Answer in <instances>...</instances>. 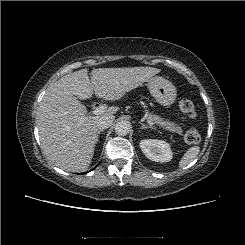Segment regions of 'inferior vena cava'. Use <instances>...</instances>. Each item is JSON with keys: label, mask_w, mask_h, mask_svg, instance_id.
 Wrapping results in <instances>:
<instances>
[{"label": "inferior vena cava", "mask_w": 245, "mask_h": 245, "mask_svg": "<svg viewBox=\"0 0 245 245\" xmlns=\"http://www.w3.org/2000/svg\"><path fill=\"white\" fill-rule=\"evenodd\" d=\"M114 119L113 115H103L99 118L97 126L100 130L107 129L112 125Z\"/></svg>", "instance_id": "obj_1"}]
</instances>
